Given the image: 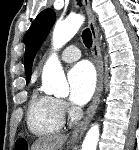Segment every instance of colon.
I'll use <instances>...</instances> for the list:
<instances>
[{"instance_id": "5ec220e1", "label": "colon", "mask_w": 139, "mask_h": 150, "mask_svg": "<svg viewBox=\"0 0 139 150\" xmlns=\"http://www.w3.org/2000/svg\"><path fill=\"white\" fill-rule=\"evenodd\" d=\"M16 150H27V144L25 141L16 142Z\"/></svg>"}]
</instances>
